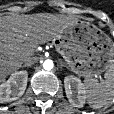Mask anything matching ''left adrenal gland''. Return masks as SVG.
<instances>
[{"instance_id": "1", "label": "left adrenal gland", "mask_w": 114, "mask_h": 114, "mask_svg": "<svg viewBox=\"0 0 114 114\" xmlns=\"http://www.w3.org/2000/svg\"><path fill=\"white\" fill-rule=\"evenodd\" d=\"M60 66L63 67L65 66V64L62 61H60Z\"/></svg>"}]
</instances>
